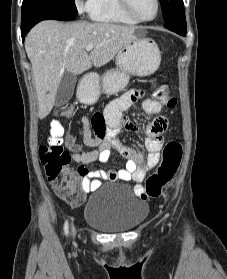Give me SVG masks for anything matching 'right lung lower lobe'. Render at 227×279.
I'll return each mask as SVG.
<instances>
[{"instance_id":"98d812e1","label":"right lung lower lobe","mask_w":227,"mask_h":279,"mask_svg":"<svg viewBox=\"0 0 227 279\" xmlns=\"http://www.w3.org/2000/svg\"><path fill=\"white\" fill-rule=\"evenodd\" d=\"M76 16L69 14L58 6L52 5L47 2H39L33 5L27 12L22 14L21 21V36L22 39L27 35L30 29L42 20H74Z\"/></svg>"}]
</instances>
